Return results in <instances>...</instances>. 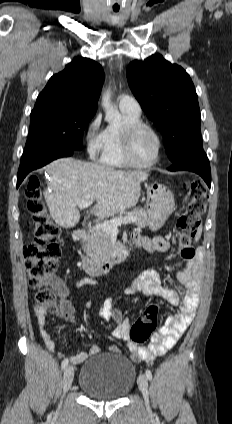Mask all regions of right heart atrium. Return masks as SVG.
I'll use <instances>...</instances> for the list:
<instances>
[{
	"mask_svg": "<svg viewBox=\"0 0 232 424\" xmlns=\"http://www.w3.org/2000/svg\"><path fill=\"white\" fill-rule=\"evenodd\" d=\"M100 124L101 116L96 114L85 127V145L91 158H96L103 149V131L100 130Z\"/></svg>",
	"mask_w": 232,
	"mask_h": 424,
	"instance_id": "obj_1",
	"label": "right heart atrium"
}]
</instances>
